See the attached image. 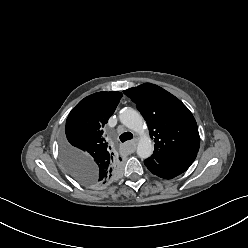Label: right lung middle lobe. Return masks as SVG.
<instances>
[{"mask_svg": "<svg viewBox=\"0 0 248 248\" xmlns=\"http://www.w3.org/2000/svg\"><path fill=\"white\" fill-rule=\"evenodd\" d=\"M66 145L64 143L63 147ZM65 168L70 173V175L76 179L77 181L86 184L85 179L90 177V173L86 167H84L81 163H73L72 165L68 164L66 160H63Z\"/></svg>", "mask_w": 248, "mask_h": 248, "instance_id": "dd1d6c3e", "label": "right lung middle lobe"}]
</instances>
